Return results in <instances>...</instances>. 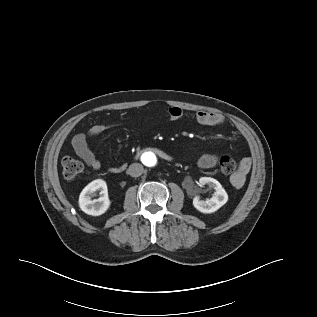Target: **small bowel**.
<instances>
[{"label":"small bowel","mask_w":317,"mask_h":317,"mask_svg":"<svg viewBox=\"0 0 317 317\" xmlns=\"http://www.w3.org/2000/svg\"><path fill=\"white\" fill-rule=\"evenodd\" d=\"M167 116L170 120H178L184 116V110L180 107L172 106L166 110ZM196 121L205 126H220L224 123V118L221 114L212 111H197L195 113ZM106 129L103 124L92 125L87 135L97 136ZM72 147L75 153L93 170H99L101 163L92 150L89 148L86 140L85 133H79L72 139ZM218 156L216 154H204L198 160L199 167L203 169L212 168L216 165ZM251 166V160L249 158H243L241 161L240 171L232 176L231 183L234 187H241L246 179V175L249 172ZM108 170L112 173H117L121 170V167H109Z\"/></svg>","instance_id":"obj_1"}]
</instances>
